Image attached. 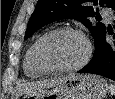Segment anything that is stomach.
<instances>
[{
    "instance_id": "obj_1",
    "label": "stomach",
    "mask_w": 115,
    "mask_h": 99,
    "mask_svg": "<svg viewBox=\"0 0 115 99\" xmlns=\"http://www.w3.org/2000/svg\"><path fill=\"white\" fill-rule=\"evenodd\" d=\"M108 91L106 81L95 75H74L52 89L26 93L22 99H102Z\"/></svg>"
}]
</instances>
